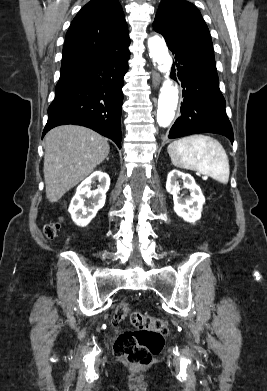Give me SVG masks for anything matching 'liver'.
Returning a JSON list of instances; mask_svg holds the SVG:
<instances>
[{
  "label": "liver",
  "mask_w": 267,
  "mask_h": 391,
  "mask_svg": "<svg viewBox=\"0 0 267 391\" xmlns=\"http://www.w3.org/2000/svg\"><path fill=\"white\" fill-rule=\"evenodd\" d=\"M107 139L81 126L65 125L45 136L44 179L46 197L57 202L107 158Z\"/></svg>",
  "instance_id": "obj_1"
}]
</instances>
